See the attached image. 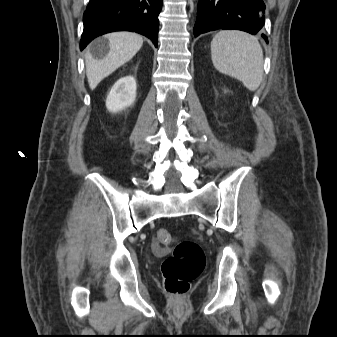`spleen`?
<instances>
[{
	"instance_id": "3e777b00",
	"label": "spleen",
	"mask_w": 337,
	"mask_h": 337,
	"mask_svg": "<svg viewBox=\"0 0 337 337\" xmlns=\"http://www.w3.org/2000/svg\"><path fill=\"white\" fill-rule=\"evenodd\" d=\"M214 67L243 83L250 91L258 89L263 78V50L258 39L242 31H220L211 41Z\"/></svg>"
}]
</instances>
